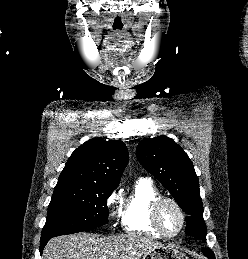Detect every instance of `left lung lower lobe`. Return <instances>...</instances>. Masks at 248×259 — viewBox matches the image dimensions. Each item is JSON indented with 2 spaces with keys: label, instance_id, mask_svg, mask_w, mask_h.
I'll return each mask as SVG.
<instances>
[{
  "label": "left lung lower lobe",
  "instance_id": "left-lung-lower-lobe-1",
  "mask_svg": "<svg viewBox=\"0 0 248 259\" xmlns=\"http://www.w3.org/2000/svg\"><path fill=\"white\" fill-rule=\"evenodd\" d=\"M202 252L205 254L207 258L215 259L214 253L210 249H202Z\"/></svg>",
  "mask_w": 248,
  "mask_h": 259
}]
</instances>
